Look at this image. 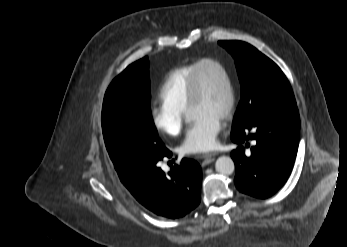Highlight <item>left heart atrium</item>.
<instances>
[{
  "label": "left heart atrium",
  "instance_id": "1",
  "mask_svg": "<svg viewBox=\"0 0 347 247\" xmlns=\"http://www.w3.org/2000/svg\"><path fill=\"white\" fill-rule=\"evenodd\" d=\"M221 129L222 118L211 115L197 117L187 129L180 151L192 155L212 150Z\"/></svg>",
  "mask_w": 347,
  "mask_h": 247
}]
</instances>
